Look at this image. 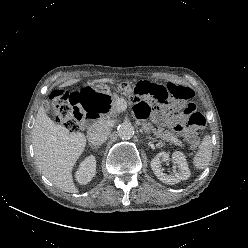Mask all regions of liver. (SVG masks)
<instances>
[{"label": "liver", "mask_w": 248, "mask_h": 248, "mask_svg": "<svg viewBox=\"0 0 248 248\" xmlns=\"http://www.w3.org/2000/svg\"><path fill=\"white\" fill-rule=\"evenodd\" d=\"M79 79H71L61 86H70ZM35 162L42 174L56 187L69 193L78 191L72 169L83 153L86 137L81 132H70L51 120L40 106L32 129Z\"/></svg>", "instance_id": "liver-1"}]
</instances>
